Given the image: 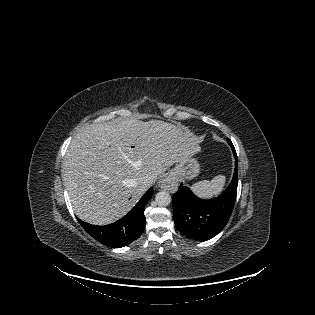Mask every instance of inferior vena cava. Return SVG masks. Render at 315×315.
I'll return each instance as SVG.
<instances>
[{
  "instance_id": "obj_1",
  "label": "inferior vena cava",
  "mask_w": 315,
  "mask_h": 315,
  "mask_svg": "<svg viewBox=\"0 0 315 315\" xmlns=\"http://www.w3.org/2000/svg\"><path fill=\"white\" fill-rule=\"evenodd\" d=\"M152 185L151 181H144L141 184L142 190L146 191Z\"/></svg>"
}]
</instances>
